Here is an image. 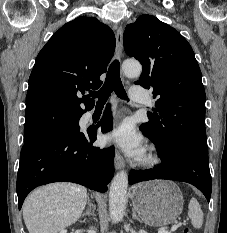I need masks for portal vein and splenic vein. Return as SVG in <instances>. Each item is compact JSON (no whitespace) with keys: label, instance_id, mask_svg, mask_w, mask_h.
Returning <instances> with one entry per match:
<instances>
[{"label":"portal vein and splenic vein","instance_id":"portal-vein-and-splenic-vein-1","mask_svg":"<svg viewBox=\"0 0 227 233\" xmlns=\"http://www.w3.org/2000/svg\"><path fill=\"white\" fill-rule=\"evenodd\" d=\"M177 228H178V225L177 224H173L172 227H171V231H175Z\"/></svg>","mask_w":227,"mask_h":233}]
</instances>
